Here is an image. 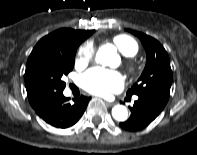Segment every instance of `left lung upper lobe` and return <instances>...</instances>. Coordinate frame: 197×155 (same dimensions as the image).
I'll list each match as a JSON object with an SVG mask.
<instances>
[{"label":"left lung upper lobe","mask_w":197,"mask_h":155,"mask_svg":"<svg viewBox=\"0 0 197 155\" xmlns=\"http://www.w3.org/2000/svg\"><path fill=\"white\" fill-rule=\"evenodd\" d=\"M130 32L141 40L147 60L141 77L127 91V96L135 94L165 106L172 84V70L168 54L156 39L133 30Z\"/></svg>","instance_id":"1"}]
</instances>
